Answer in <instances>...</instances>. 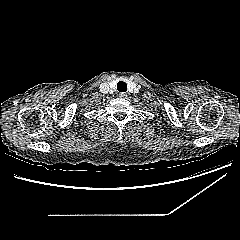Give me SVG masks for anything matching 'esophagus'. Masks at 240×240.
Here are the masks:
<instances>
[{
  "label": "esophagus",
  "mask_w": 240,
  "mask_h": 240,
  "mask_svg": "<svg viewBox=\"0 0 240 240\" xmlns=\"http://www.w3.org/2000/svg\"><path fill=\"white\" fill-rule=\"evenodd\" d=\"M119 97H120V98H126V97H127V94L124 93V92H121V93H119Z\"/></svg>",
  "instance_id": "esophagus-1"
}]
</instances>
